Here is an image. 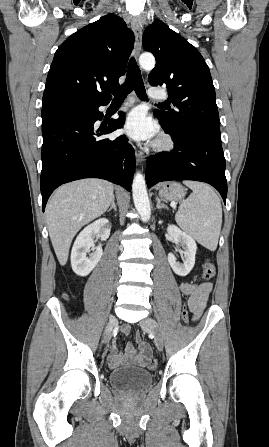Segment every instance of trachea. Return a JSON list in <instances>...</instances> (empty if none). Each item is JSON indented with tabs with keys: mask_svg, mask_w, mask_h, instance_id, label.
<instances>
[{
	"mask_svg": "<svg viewBox=\"0 0 269 447\" xmlns=\"http://www.w3.org/2000/svg\"><path fill=\"white\" fill-rule=\"evenodd\" d=\"M132 90H135L136 95L141 100H147V95L143 83V79L141 76V72L139 70V67L136 64V61L134 58H131L128 68H127V77L123 85L121 87L116 88L112 91V94L114 95L113 100H124L126 96L132 92ZM159 105H166L165 103L159 104Z\"/></svg>",
	"mask_w": 269,
	"mask_h": 447,
	"instance_id": "3493384b",
	"label": "trachea"
}]
</instances>
